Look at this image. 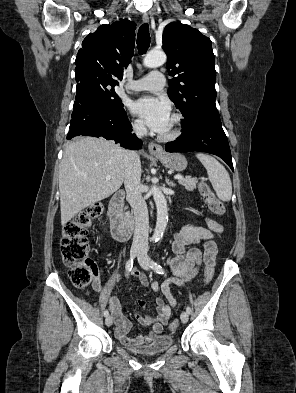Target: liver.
<instances>
[{
    "label": "liver",
    "instance_id": "1",
    "mask_svg": "<svg viewBox=\"0 0 296 393\" xmlns=\"http://www.w3.org/2000/svg\"><path fill=\"white\" fill-rule=\"evenodd\" d=\"M125 150L113 141L79 137L65 146L59 167L61 224L108 198L123 184ZM110 176V180L106 177Z\"/></svg>",
    "mask_w": 296,
    "mask_h": 393
}]
</instances>
